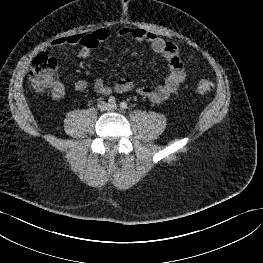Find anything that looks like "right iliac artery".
Returning <instances> with one entry per match:
<instances>
[{"label": "right iliac artery", "mask_w": 263, "mask_h": 263, "mask_svg": "<svg viewBox=\"0 0 263 263\" xmlns=\"http://www.w3.org/2000/svg\"><path fill=\"white\" fill-rule=\"evenodd\" d=\"M108 102L112 105L115 104L116 103L115 97L113 96L109 97Z\"/></svg>", "instance_id": "1"}]
</instances>
